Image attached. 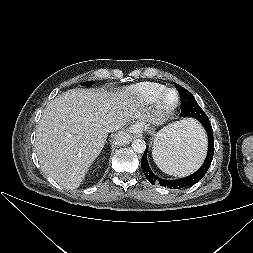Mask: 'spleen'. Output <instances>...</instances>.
Listing matches in <instances>:
<instances>
[{
  "label": "spleen",
  "instance_id": "3e777b00",
  "mask_svg": "<svg viewBox=\"0 0 253 253\" xmlns=\"http://www.w3.org/2000/svg\"><path fill=\"white\" fill-rule=\"evenodd\" d=\"M206 147L203 128L194 120H183L163 128L156 135L152 155L163 172L185 176L202 164Z\"/></svg>",
  "mask_w": 253,
  "mask_h": 253
}]
</instances>
